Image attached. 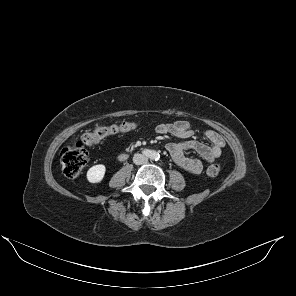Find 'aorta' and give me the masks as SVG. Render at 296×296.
Returning <instances> with one entry per match:
<instances>
[{
    "label": "aorta",
    "mask_w": 296,
    "mask_h": 296,
    "mask_svg": "<svg viewBox=\"0 0 296 296\" xmlns=\"http://www.w3.org/2000/svg\"><path fill=\"white\" fill-rule=\"evenodd\" d=\"M150 158L152 160H157V159H159V154L154 151V152L151 153Z\"/></svg>",
    "instance_id": "762f6f07"
}]
</instances>
